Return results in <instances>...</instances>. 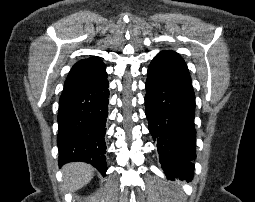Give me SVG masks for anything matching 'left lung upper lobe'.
I'll return each mask as SVG.
<instances>
[{"label":"left lung upper lobe","mask_w":255,"mask_h":202,"mask_svg":"<svg viewBox=\"0 0 255 202\" xmlns=\"http://www.w3.org/2000/svg\"><path fill=\"white\" fill-rule=\"evenodd\" d=\"M148 74L161 78L170 84L193 89L185 61L172 51H162L152 60Z\"/></svg>","instance_id":"1"}]
</instances>
